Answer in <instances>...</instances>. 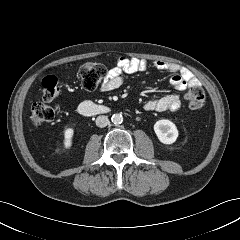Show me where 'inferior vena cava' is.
Listing matches in <instances>:
<instances>
[{"mask_svg": "<svg viewBox=\"0 0 240 240\" xmlns=\"http://www.w3.org/2000/svg\"><path fill=\"white\" fill-rule=\"evenodd\" d=\"M96 125L100 128L106 127L109 124V120L107 116L100 115L96 118Z\"/></svg>", "mask_w": 240, "mask_h": 240, "instance_id": "inferior-vena-cava-1", "label": "inferior vena cava"}]
</instances>
